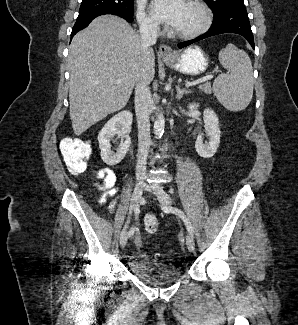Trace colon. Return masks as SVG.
I'll return each mask as SVG.
<instances>
[{
    "mask_svg": "<svg viewBox=\"0 0 298 325\" xmlns=\"http://www.w3.org/2000/svg\"><path fill=\"white\" fill-rule=\"evenodd\" d=\"M80 153H69L66 155L67 166L73 174H81L88 168V159L91 153L90 147L87 143H82ZM145 230L153 234L157 232L159 228V222L156 216L148 214L144 218Z\"/></svg>",
    "mask_w": 298,
    "mask_h": 325,
    "instance_id": "obj_1",
    "label": "colon"
}]
</instances>
